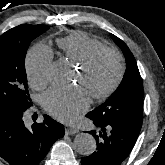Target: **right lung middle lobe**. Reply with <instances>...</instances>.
<instances>
[{
    "instance_id": "dd1d6c3e",
    "label": "right lung middle lobe",
    "mask_w": 165,
    "mask_h": 165,
    "mask_svg": "<svg viewBox=\"0 0 165 165\" xmlns=\"http://www.w3.org/2000/svg\"><path fill=\"white\" fill-rule=\"evenodd\" d=\"M48 29L45 25L22 24L0 36V110L31 106L25 56L30 42Z\"/></svg>"
}]
</instances>
